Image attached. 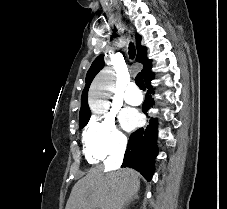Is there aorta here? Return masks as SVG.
<instances>
[{
    "label": "aorta",
    "instance_id": "762f6f07",
    "mask_svg": "<svg viewBox=\"0 0 227 209\" xmlns=\"http://www.w3.org/2000/svg\"><path fill=\"white\" fill-rule=\"evenodd\" d=\"M114 89V72L104 68L94 79L89 91V106L96 114L104 113L108 107L109 93Z\"/></svg>",
    "mask_w": 227,
    "mask_h": 209
}]
</instances>
